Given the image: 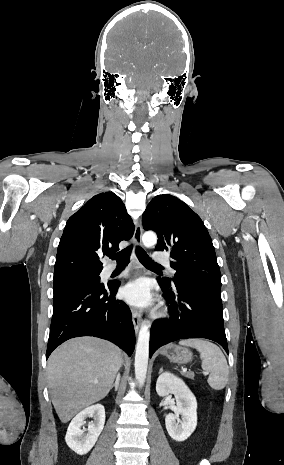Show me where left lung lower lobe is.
<instances>
[{"label": "left lung lower lobe", "instance_id": "left-lung-lower-lobe-1", "mask_svg": "<svg viewBox=\"0 0 284 465\" xmlns=\"http://www.w3.org/2000/svg\"><path fill=\"white\" fill-rule=\"evenodd\" d=\"M158 282L168 304L169 319L151 328L149 356L161 346L186 338H206L219 343L228 353L224 330L221 288L188 280Z\"/></svg>", "mask_w": 284, "mask_h": 465}]
</instances>
